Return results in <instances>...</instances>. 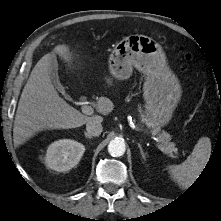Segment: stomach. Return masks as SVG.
Wrapping results in <instances>:
<instances>
[{
    "instance_id": "0dacf381",
    "label": "stomach",
    "mask_w": 221,
    "mask_h": 221,
    "mask_svg": "<svg viewBox=\"0 0 221 221\" xmlns=\"http://www.w3.org/2000/svg\"><path fill=\"white\" fill-rule=\"evenodd\" d=\"M133 67L146 75V124L154 129L166 125L180 100L181 87L166 64L162 47L144 35L124 38L109 56V70L114 78L126 80L131 76Z\"/></svg>"
}]
</instances>
